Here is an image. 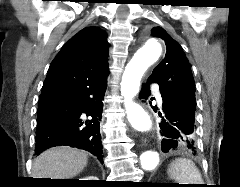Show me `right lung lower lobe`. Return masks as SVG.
<instances>
[{"label":"right lung lower lobe","instance_id":"98d812e1","mask_svg":"<svg viewBox=\"0 0 240 187\" xmlns=\"http://www.w3.org/2000/svg\"><path fill=\"white\" fill-rule=\"evenodd\" d=\"M106 87L107 77L40 98L35 155L54 146L67 145L89 151L103 163L100 121Z\"/></svg>","mask_w":240,"mask_h":187}]
</instances>
